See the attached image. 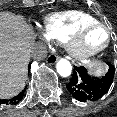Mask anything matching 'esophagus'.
<instances>
[{
	"instance_id": "34e87169",
	"label": "esophagus",
	"mask_w": 117,
	"mask_h": 117,
	"mask_svg": "<svg viewBox=\"0 0 117 117\" xmlns=\"http://www.w3.org/2000/svg\"><path fill=\"white\" fill-rule=\"evenodd\" d=\"M59 56L57 54H50L48 57H47V63L49 64H54L56 63V61L58 60Z\"/></svg>"
}]
</instances>
